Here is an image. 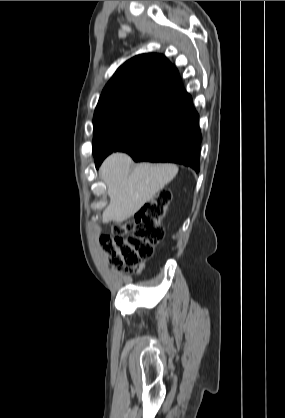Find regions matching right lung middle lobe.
Listing matches in <instances>:
<instances>
[{
    "label": "right lung middle lobe",
    "instance_id": "right-lung-middle-lobe-1",
    "mask_svg": "<svg viewBox=\"0 0 285 418\" xmlns=\"http://www.w3.org/2000/svg\"><path fill=\"white\" fill-rule=\"evenodd\" d=\"M173 110L144 102L127 101L95 111L93 155L95 160L120 151L153 127Z\"/></svg>",
    "mask_w": 285,
    "mask_h": 418
}]
</instances>
